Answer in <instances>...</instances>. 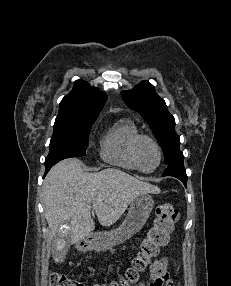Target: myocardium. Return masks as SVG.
Masks as SVG:
<instances>
[{"mask_svg":"<svg viewBox=\"0 0 231 286\" xmlns=\"http://www.w3.org/2000/svg\"><path fill=\"white\" fill-rule=\"evenodd\" d=\"M142 141H148L151 144H153V146L156 148L157 153H158L157 166L151 171H147V170L143 169L141 164H140V161H139L138 150H139V146H140ZM131 156H132L133 162H134L135 166L137 167V169L143 173H153L154 171H156L160 167L162 160H163V152H162L161 146L158 143V141L148 134H141V133H139L132 141Z\"/></svg>","mask_w":231,"mask_h":286,"instance_id":"1","label":"myocardium"}]
</instances>
